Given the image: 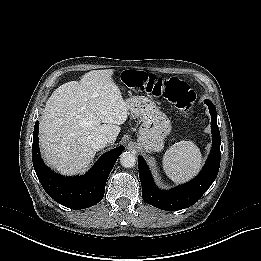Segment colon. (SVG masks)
<instances>
[{
	"mask_svg": "<svg viewBox=\"0 0 261 261\" xmlns=\"http://www.w3.org/2000/svg\"><path fill=\"white\" fill-rule=\"evenodd\" d=\"M128 82L135 89L154 96H162L185 114L193 111L195 93L179 78L173 77L164 81L152 73L133 71L128 73Z\"/></svg>",
	"mask_w": 261,
	"mask_h": 261,
	"instance_id": "5ec220e1",
	"label": "colon"
}]
</instances>
